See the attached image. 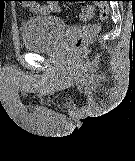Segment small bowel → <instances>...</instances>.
Segmentation results:
<instances>
[{"mask_svg": "<svg viewBox=\"0 0 135 161\" xmlns=\"http://www.w3.org/2000/svg\"><path fill=\"white\" fill-rule=\"evenodd\" d=\"M25 6L32 12L38 13H50L57 9L53 3L37 4L34 1H24Z\"/></svg>", "mask_w": 135, "mask_h": 161, "instance_id": "small-bowel-1", "label": "small bowel"}]
</instances>
